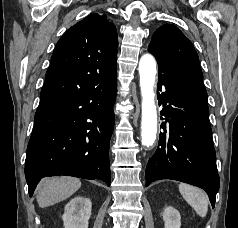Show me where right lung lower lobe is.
I'll use <instances>...</instances> for the list:
<instances>
[{"instance_id":"obj_1","label":"right lung lower lobe","mask_w":238,"mask_h":228,"mask_svg":"<svg viewBox=\"0 0 238 228\" xmlns=\"http://www.w3.org/2000/svg\"><path fill=\"white\" fill-rule=\"evenodd\" d=\"M116 81L38 106L24 169L30 196L46 176L100 179L110 186Z\"/></svg>"}]
</instances>
